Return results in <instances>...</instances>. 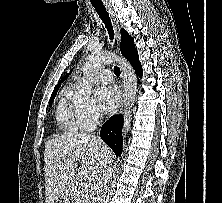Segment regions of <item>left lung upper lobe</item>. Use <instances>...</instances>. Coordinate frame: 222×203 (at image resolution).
<instances>
[{
  "label": "left lung upper lobe",
  "instance_id": "obj_1",
  "mask_svg": "<svg viewBox=\"0 0 222 203\" xmlns=\"http://www.w3.org/2000/svg\"><path fill=\"white\" fill-rule=\"evenodd\" d=\"M121 53L127 59L130 58L137 50L133 44V38L125 29H121Z\"/></svg>",
  "mask_w": 222,
  "mask_h": 203
}]
</instances>
